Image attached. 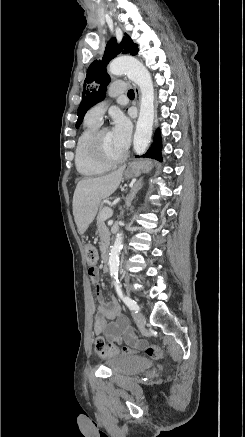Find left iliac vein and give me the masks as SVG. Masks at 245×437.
Returning a JSON list of instances; mask_svg holds the SVG:
<instances>
[{
    "label": "left iliac vein",
    "instance_id": "1",
    "mask_svg": "<svg viewBox=\"0 0 245 437\" xmlns=\"http://www.w3.org/2000/svg\"><path fill=\"white\" fill-rule=\"evenodd\" d=\"M133 318L138 326H144L146 324V319L140 312H133Z\"/></svg>",
    "mask_w": 245,
    "mask_h": 437
}]
</instances>
